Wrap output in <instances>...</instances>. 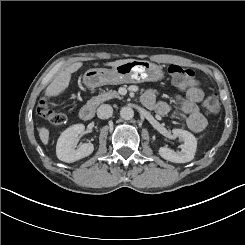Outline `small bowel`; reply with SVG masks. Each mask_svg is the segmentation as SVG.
<instances>
[{"label": "small bowel", "instance_id": "small-bowel-1", "mask_svg": "<svg viewBox=\"0 0 245 245\" xmlns=\"http://www.w3.org/2000/svg\"><path fill=\"white\" fill-rule=\"evenodd\" d=\"M180 92L176 96L177 112L179 119L182 120L189 129L194 132H200L205 129L207 120L198 107L199 102L204 96L200 83L196 79H189L177 83ZM143 104L155 111L157 114L164 116L173 110L170 104L157 101L154 90H147L142 97Z\"/></svg>", "mask_w": 245, "mask_h": 245}]
</instances>
